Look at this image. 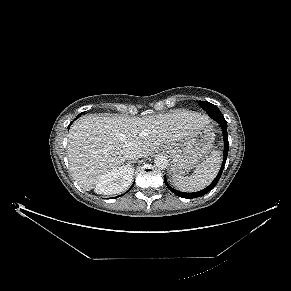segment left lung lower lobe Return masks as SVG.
I'll return each instance as SVG.
<instances>
[{"label": "left lung lower lobe", "mask_w": 291, "mask_h": 291, "mask_svg": "<svg viewBox=\"0 0 291 291\" xmlns=\"http://www.w3.org/2000/svg\"><path fill=\"white\" fill-rule=\"evenodd\" d=\"M212 119H214L216 122H218L222 128V131H223V134H224V139H225V149H224V161H223V166L221 167L218 175L215 177V179L210 183L209 186H207L206 188H204L203 190H200L198 192H193V193H186V192H181V191H178L174 188H172L168 182H167V179L166 177L164 176V182L166 184V186L168 187V189L173 192L174 194H176L177 196L179 197H183V198H189V199H192V198H197V197H201L205 194H207L208 192H210L215 186L216 184L218 183L220 177H221V174H222V171L224 169V165L226 163V159H227V155H228V146H229V143H228V134H227V123H226V120L224 118V116L222 114H218V115H213V116H210Z\"/></svg>", "instance_id": "0a47b994"}]
</instances>
